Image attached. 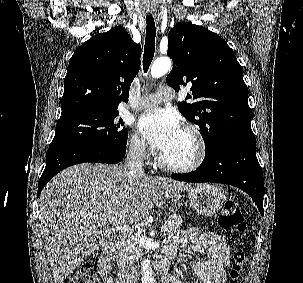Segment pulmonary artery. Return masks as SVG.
Here are the masks:
<instances>
[{"instance_id":"e3ab8cb5","label":"pulmonary artery","mask_w":303,"mask_h":283,"mask_svg":"<svg viewBox=\"0 0 303 283\" xmlns=\"http://www.w3.org/2000/svg\"><path fill=\"white\" fill-rule=\"evenodd\" d=\"M175 93L173 89L167 85L160 86L156 93L148 94L142 97L138 104V109H146L150 107H154L162 101H169L172 100Z\"/></svg>"}]
</instances>
